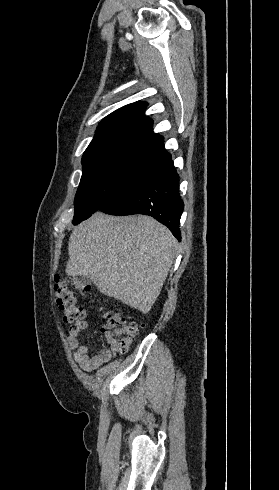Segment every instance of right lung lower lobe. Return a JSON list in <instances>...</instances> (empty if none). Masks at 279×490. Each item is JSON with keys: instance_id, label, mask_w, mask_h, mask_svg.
<instances>
[{"instance_id": "1", "label": "right lung lower lobe", "mask_w": 279, "mask_h": 490, "mask_svg": "<svg viewBox=\"0 0 279 490\" xmlns=\"http://www.w3.org/2000/svg\"><path fill=\"white\" fill-rule=\"evenodd\" d=\"M157 165L147 178L110 194L98 211L111 215L152 216L180 241L179 223L184 203L179 193V175L171 155Z\"/></svg>"}]
</instances>
